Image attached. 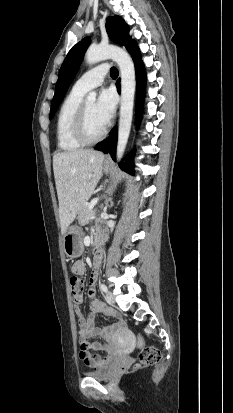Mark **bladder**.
Listing matches in <instances>:
<instances>
[{
	"instance_id": "bladder-1",
	"label": "bladder",
	"mask_w": 233,
	"mask_h": 413,
	"mask_svg": "<svg viewBox=\"0 0 233 413\" xmlns=\"http://www.w3.org/2000/svg\"><path fill=\"white\" fill-rule=\"evenodd\" d=\"M84 375L89 378L106 381L113 377L114 368L112 366H106L104 368L85 372Z\"/></svg>"
}]
</instances>
